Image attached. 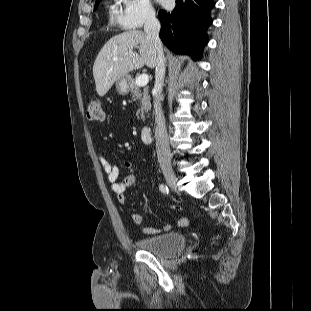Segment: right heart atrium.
<instances>
[{
  "instance_id": "right-heart-atrium-1",
  "label": "right heart atrium",
  "mask_w": 311,
  "mask_h": 311,
  "mask_svg": "<svg viewBox=\"0 0 311 311\" xmlns=\"http://www.w3.org/2000/svg\"><path fill=\"white\" fill-rule=\"evenodd\" d=\"M119 8L113 13L117 25L133 31L155 19V11L150 0H116Z\"/></svg>"
}]
</instances>
